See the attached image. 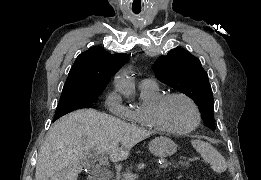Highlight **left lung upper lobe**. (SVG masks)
Here are the masks:
<instances>
[{
  "label": "left lung upper lobe",
  "mask_w": 261,
  "mask_h": 180,
  "mask_svg": "<svg viewBox=\"0 0 261 180\" xmlns=\"http://www.w3.org/2000/svg\"><path fill=\"white\" fill-rule=\"evenodd\" d=\"M155 75L161 82L190 97L200 109L205 124L215 130L213 94L199 59L185 49H172L155 62Z\"/></svg>",
  "instance_id": "obj_1"
}]
</instances>
